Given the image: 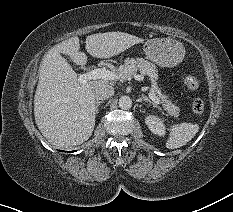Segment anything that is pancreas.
Listing matches in <instances>:
<instances>
[{
  "label": "pancreas",
  "instance_id": "obj_1",
  "mask_svg": "<svg viewBox=\"0 0 233 212\" xmlns=\"http://www.w3.org/2000/svg\"><path fill=\"white\" fill-rule=\"evenodd\" d=\"M118 72L122 79L132 78L137 75V72H139L141 76H149L153 81V85L150 91L157 95L159 99H161L160 103L163 105L164 110L172 116H179V107L176 106L170 99H168V96L161 93L160 88L155 83L158 77V71L154 64L141 58H127L124 64L120 65L118 68Z\"/></svg>",
  "mask_w": 233,
  "mask_h": 212
}]
</instances>
